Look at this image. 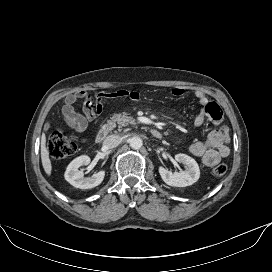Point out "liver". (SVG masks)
Returning <instances> with one entry per match:
<instances>
[{
    "label": "liver",
    "instance_id": "obj_1",
    "mask_svg": "<svg viewBox=\"0 0 272 272\" xmlns=\"http://www.w3.org/2000/svg\"><path fill=\"white\" fill-rule=\"evenodd\" d=\"M41 161L44 168L45 173L50 176L52 172V164L49 158V151L46 148V137L45 134H42L41 137Z\"/></svg>",
    "mask_w": 272,
    "mask_h": 272
}]
</instances>
